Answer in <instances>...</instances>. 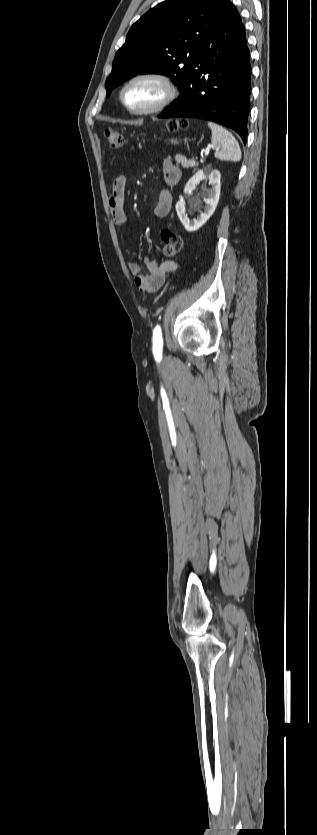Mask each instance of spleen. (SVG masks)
<instances>
[{"label":"spleen","instance_id":"1","mask_svg":"<svg viewBox=\"0 0 317 835\" xmlns=\"http://www.w3.org/2000/svg\"><path fill=\"white\" fill-rule=\"evenodd\" d=\"M212 131L211 142L215 147V157L220 160L238 162L241 160V150L234 136L224 127L208 122Z\"/></svg>","mask_w":317,"mask_h":835}]
</instances>
